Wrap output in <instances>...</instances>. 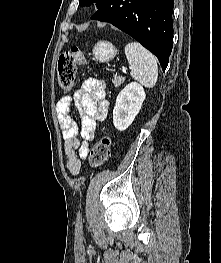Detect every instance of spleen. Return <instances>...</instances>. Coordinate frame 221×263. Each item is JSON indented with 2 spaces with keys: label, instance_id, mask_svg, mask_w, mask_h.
Listing matches in <instances>:
<instances>
[{
  "label": "spleen",
  "instance_id": "spleen-1",
  "mask_svg": "<svg viewBox=\"0 0 221 263\" xmlns=\"http://www.w3.org/2000/svg\"><path fill=\"white\" fill-rule=\"evenodd\" d=\"M125 54L131 66V76L147 88L155 86L158 66L155 56L138 42L128 43Z\"/></svg>",
  "mask_w": 221,
  "mask_h": 263
}]
</instances>
